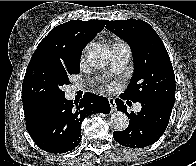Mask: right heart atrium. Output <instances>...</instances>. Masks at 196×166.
Wrapping results in <instances>:
<instances>
[{"mask_svg": "<svg viewBox=\"0 0 196 166\" xmlns=\"http://www.w3.org/2000/svg\"><path fill=\"white\" fill-rule=\"evenodd\" d=\"M85 53H86V49L83 50V52H82V57L85 56Z\"/></svg>", "mask_w": 196, "mask_h": 166, "instance_id": "obj_1", "label": "right heart atrium"}]
</instances>
